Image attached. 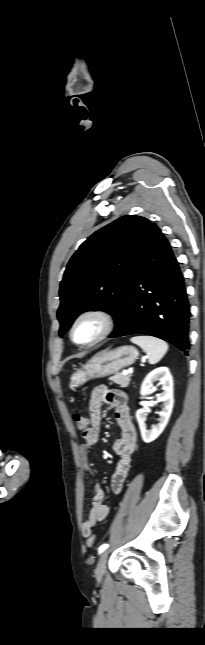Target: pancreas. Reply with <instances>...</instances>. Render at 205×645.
Segmentation results:
<instances>
[{"label": "pancreas", "mask_w": 205, "mask_h": 645, "mask_svg": "<svg viewBox=\"0 0 205 645\" xmlns=\"http://www.w3.org/2000/svg\"><path fill=\"white\" fill-rule=\"evenodd\" d=\"M109 380L120 385V387H127L130 383V375H123V373H117L114 376L110 377Z\"/></svg>", "instance_id": "1"}]
</instances>
